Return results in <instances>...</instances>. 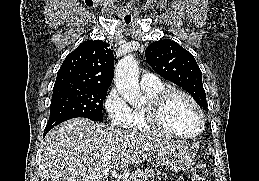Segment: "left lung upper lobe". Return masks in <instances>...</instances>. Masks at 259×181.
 <instances>
[{"label": "left lung upper lobe", "mask_w": 259, "mask_h": 181, "mask_svg": "<svg viewBox=\"0 0 259 181\" xmlns=\"http://www.w3.org/2000/svg\"><path fill=\"white\" fill-rule=\"evenodd\" d=\"M145 56L160 76L189 92L199 106L207 107L202 72L192 54L176 42L165 39L150 44Z\"/></svg>", "instance_id": "1"}]
</instances>
